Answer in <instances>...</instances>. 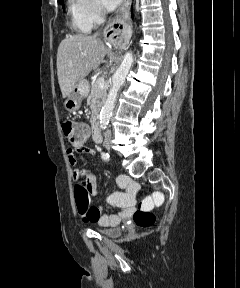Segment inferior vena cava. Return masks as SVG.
I'll return each mask as SVG.
<instances>
[{
    "instance_id": "inferior-vena-cava-1",
    "label": "inferior vena cava",
    "mask_w": 240,
    "mask_h": 288,
    "mask_svg": "<svg viewBox=\"0 0 240 288\" xmlns=\"http://www.w3.org/2000/svg\"><path fill=\"white\" fill-rule=\"evenodd\" d=\"M97 36H98V33H95L94 37H97ZM105 139L106 140H110L111 139V131L109 129L106 130V132H105Z\"/></svg>"
}]
</instances>
